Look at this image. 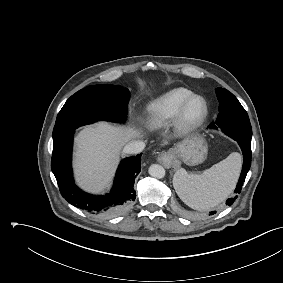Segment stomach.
<instances>
[{"mask_svg": "<svg viewBox=\"0 0 283 283\" xmlns=\"http://www.w3.org/2000/svg\"><path fill=\"white\" fill-rule=\"evenodd\" d=\"M208 152L206 141L200 135H193L177 144L169 151L173 160H181L188 165L202 163Z\"/></svg>", "mask_w": 283, "mask_h": 283, "instance_id": "0dacf381", "label": "stomach"}]
</instances>
